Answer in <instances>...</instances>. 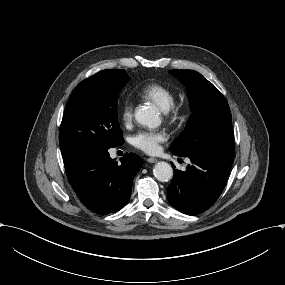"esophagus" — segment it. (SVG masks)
<instances>
[{"label": "esophagus", "mask_w": 285, "mask_h": 285, "mask_svg": "<svg viewBox=\"0 0 285 285\" xmlns=\"http://www.w3.org/2000/svg\"><path fill=\"white\" fill-rule=\"evenodd\" d=\"M147 161H148L149 163H156V162H157V159L151 157V158H148Z\"/></svg>", "instance_id": "1"}]
</instances>
